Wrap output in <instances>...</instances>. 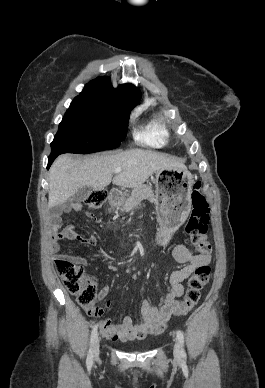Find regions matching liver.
Masks as SVG:
<instances>
[{
	"instance_id": "liver-1",
	"label": "liver",
	"mask_w": 265,
	"mask_h": 388,
	"mask_svg": "<svg viewBox=\"0 0 265 388\" xmlns=\"http://www.w3.org/2000/svg\"><path fill=\"white\" fill-rule=\"evenodd\" d=\"M115 168H122L123 172L112 180ZM157 170H186V166L151 150H127L85 160H73L70 154H63L49 170L48 208L64 204L84 186L101 190L112 182L123 188H137Z\"/></svg>"
}]
</instances>
